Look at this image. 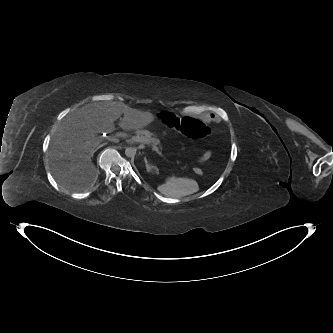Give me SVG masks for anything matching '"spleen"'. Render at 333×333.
<instances>
[{
    "label": "spleen",
    "instance_id": "spleen-1",
    "mask_svg": "<svg viewBox=\"0 0 333 333\" xmlns=\"http://www.w3.org/2000/svg\"><path fill=\"white\" fill-rule=\"evenodd\" d=\"M158 191L167 197L181 198L199 191L198 183L193 179L169 177L164 184L157 187Z\"/></svg>",
    "mask_w": 333,
    "mask_h": 333
}]
</instances>
